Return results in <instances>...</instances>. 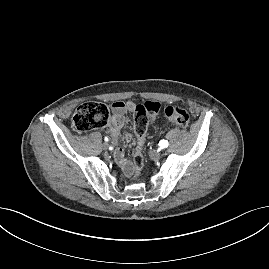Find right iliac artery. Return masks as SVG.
I'll return each instance as SVG.
<instances>
[{
    "label": "right iliac artery",
    "instance_id": "obj_1",
    "mask_svg": "<svg viewBox=\"0 0 269 269\" xmlns=\"http://www.w3.org/2000/svg\"><path fill=\"white\" fill-rule=\"evenodd\" d=\"M104 140H105L106 142H108V141H109V138H108V137H105Z\"/></svg>",
    "mask_w": 269,
    "mask_h": 269
}]
</instances>
